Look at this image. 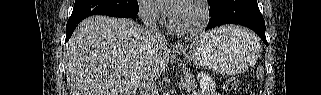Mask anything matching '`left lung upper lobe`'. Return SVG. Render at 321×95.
Returning <instances> with one entry per match:
<instances>
[{"mask_svg":"<svg viewBox=\"0 0 321 95\" xmlns=\"http://www.w3.org/2000/svg\"><path fill=\"white\" fill-rule=\"evenodd\" d=\"M216 0H209V4L215 2Z\"/></svg>","mask_w":321,"mask_h":95,"instance_id":"5c2ea615","label":"left lung upper lobe"}]
</instances>
